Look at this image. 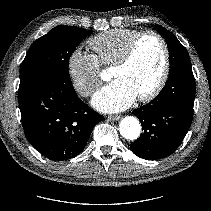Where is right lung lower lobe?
Wrapping results in <instances>:
<instances>
[{"instance_id": "1", "label": "right lung lower lobe", "mask_w": 211, "mask_h": 211, "mask_svg": "<svg viewBox=\"0 0 211 211\" xmlns=\"http://www.w3.org/2000/svg\"><path fill=\"white\" fill-rule=\"evenodd\" d=\"M19 108L28 141L51 160H68L84 149L104 117L78 98L72 83L39 77L19 86Z\"/></svg>"}]
</instances>
